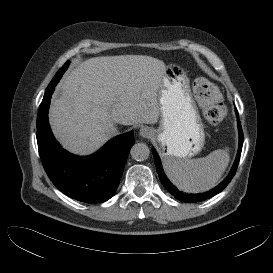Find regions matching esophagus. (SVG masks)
<instances>
[{
  "instance_id": "34e87169",
  "label": "esophagus",
  "mask_w": 273,
  "mask_h": 273,
  "mask_svg": "<svg viewBox=\"0 0 273 273\" xmlns=\"http://www.w3.org/2000/svg\"><path fill=\"white\" fill-rule=\"evenodd\" d=\"M139 134L143 138H149L151 136V130L148 127H141L139 130Z\"/></svg>"
}]
</instances>
